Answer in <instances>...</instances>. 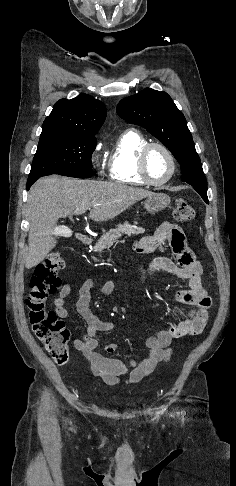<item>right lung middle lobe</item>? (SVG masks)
Wrapping results in <instances>:
<instances>
[{
  "label": "right lung middle lobe",
  "mask_w": 236,
  "mask_h": 486,
  "mask_svg": "<svg viewBox=\"0 0 236 486\" xmlns=\"http://www.w3.org/2000/svg\"><path fill=\"white\" fill-rule=\"evenodd\" d=\"M95 147V137L42 132L28 181L51 174L90 178L91 154Z\"/></svg>",
  "instance_id": "obj_1"
}]
</instances>
